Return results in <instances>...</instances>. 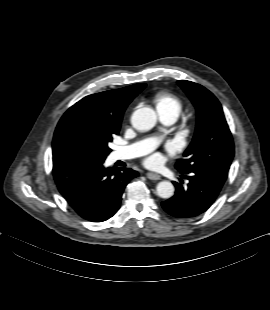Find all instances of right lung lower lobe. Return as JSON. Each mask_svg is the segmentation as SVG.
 I'll return each mask as SVG.
<instances>
[{"label": "right lung lower lobe", "instance_id": "98d812e1", "mask_svg": "<svg viewBox=\"0 0 270 310\" xmlns=\"http://www.w3.org/2000/svg\"><path fill=\"white\" fill-rule=\"evenodd\" d=\"M53 175L60 193L79 216L103 222L118 211L126 185L138 173L105 168L103 163L72 161L53 165Z\"/></svg>", "mask_w": 270, "mask_h": 310}]
</instances>
